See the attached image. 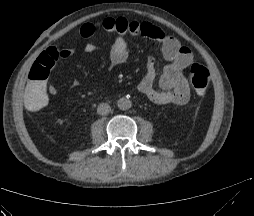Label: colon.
Instances as JSON below:
<instances>
[{
  "label": "colon",
  "mask_w": 254,
  "mask_h": 216,
  "mask_svg": "<svg viewBox=\"0 0 254 216\" xmlns=\"http://www.w3.org/2000/svg\"><path fill=\"white\" fill-rule=\"evenodd\" d=\"M60 49L50 48L39 56L29 71V81L22 89L24 109L32 114L42 112L48 104V89L44 83L55 64L59 61ZM189 78L197 94L206 92L209 81V70L200 63H193L189 68Z\"/></svg>",
  "instance_id": "5ec220e1"
}]
</instances>
